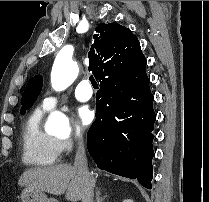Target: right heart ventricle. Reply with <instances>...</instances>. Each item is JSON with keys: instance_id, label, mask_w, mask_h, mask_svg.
Listing matches in <instances>:
<instances>
[{"instance_id": "1", "label": "right heart ventricle", "mask_w": 209, "mask_h": 202, "mask_svg": "<svg viewBox=\"0 0 209 202\" xmlns=\"http://www.w3.org/2000/svg\"><path fill=\"white\" fill-rule=\"evenodd\" d=\"M45 111L43 108L35 110L22 128V161L27 165L46 167L59 160L61 149L58 140L42 128Z\"/></svg>"}]
</instances>
